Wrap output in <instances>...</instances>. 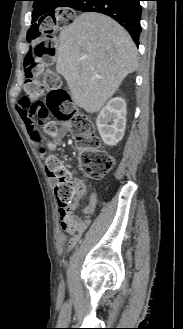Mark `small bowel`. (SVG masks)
<instances>
[{"instance_id":"c3829d8e","label":"small bowel","mask_w":183,"mask_h":329,"mask_svg":"<svg viewBox=\"0 0 183 329\" xmlns=\"http://www.w3.org/2000/svg\"><path fill=\"white\" fill-rule=\"evenodd\" d=\"M19 116H20L21 120L23 121V123L26 127V130H27L29 136L31 137L33 143L35 145H39L40 136L34 127L35 124H34V120H33V115L32 114H19ZM67 128H68V125L66 123L62 124V126L60 128V132L56 138V142L58 145H61L63 143V137L67 131ZM73 178L75 179V182L77 184V187L79 190V195L83 196L86 192V186H85L84 182L78 178H75V177H73ZM97 203H98V195L92 194L90 196L89 203L83 210V213L85 215V217L83 219H80L77 217V215L75 213V208L66 213L59 211L61 224L63 225L65 223H70L73 225H77L80 229V232H79V234H80L82 231H84L89 226L90 215H92L94 213ZM74 235H78V234H74ZM73 244H74V240H71L68 245V248L72 247Z\"/></svg>"}]
</instances>
